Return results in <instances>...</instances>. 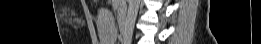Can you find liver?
<instances>
[{
    "instance_id": "liver-1",
    "label": "liver",
    "mask_w": 261,
    "mask_h": 44,
    "mask_svg": "<svg viewBox=\"0 0 261 44\" xmlns=\"http://www.w3.org/2000/svg\"><path fill=\"white\" fill-rule=\"evenodd\" d=\"M103 24H112V19H103ZM95 30H99V36L103 41L113 42L109 35L111 32L107 30H116V25H100V20H98Z\"/></svg>"
}]
</instances>
